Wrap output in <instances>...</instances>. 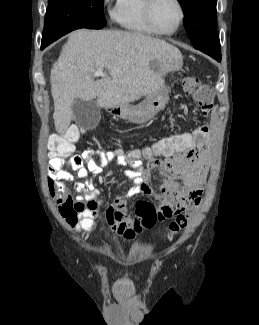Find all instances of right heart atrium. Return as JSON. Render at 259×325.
<instances>
[{
	"mask_svg": "<svg viewBox=\"0 0 259 325\" xmlns=\"http://www.w3.org/2000/svg\"><path fill=\"white\" fill-rule=\"evenodd\" d=\"M113 0H102L103 5L109 8Z\"/></svg>",
	"mask_w": 259,
	"mask_h": 325,
	"instance_id": "right-heart-atrium-1",
	"label": "right heart atrium"
}]
</instances>
